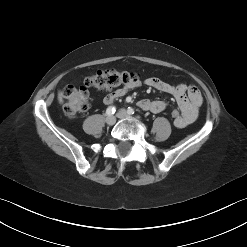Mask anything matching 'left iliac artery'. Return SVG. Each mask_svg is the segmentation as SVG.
I'll return each instance as SVG.
<instances>
[{"mask_svg": "<svg viewBox=\"0 0 247 247\" xmlns=\"http://www.w3.org/2000/svg\"><path fill=\"white\" fill-rule=\"evenodd\" d=\"M127 113H128L129 115H133V114H134V109L131 108V107H128Z\"/></svg>", "mask_w": 247, "mask_h": 247, "instance_id": "obj_1", "label": "left iliac artery"}]
</instances>
